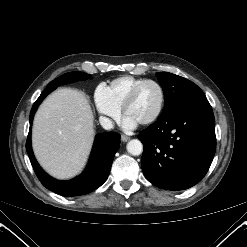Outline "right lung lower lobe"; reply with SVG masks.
I'll use <instances>...</instances> for the list:
<instances>
[{
  "label": "right lung lower lobe",
  "mask_w": 247,
  "mask_h": 247,
  "mask_svg": "<svg viewBox=\"0 0 247 247\" xmlns=\"http://www.w3.org/2000/svg\"><path fill=\"white\" fill-rule=\"evenodd\" d=\"M57 87H47L34 103L30 112V130L26 142V150L33 169L40 182L50 191L62 196H79L92 192L107 179L115 153L120 146V135L108 132L96 135L89 163L78 177L59 181L49 176L36 161L31 146V126L34 114L42 100Z\"/></svg>",
  "instance_id": "obj_1"
}]
</instances>
